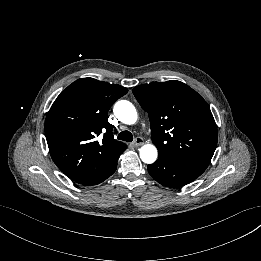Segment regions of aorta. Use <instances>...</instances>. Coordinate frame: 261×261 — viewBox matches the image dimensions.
Here are the masks:
<instances>
[{"label": "aorta", "mask_w": 261, "mask_h": 261, "mask_svg": "<svg viewBox=\"0 0 261 261\" xmlns=\"http://www.w3.org/2000/svg\"><path fill=\"white\" fill-rule=\"evenodd\" d=\"M114 114L120 121L131 125L136 123L138 115L135 107L126 100L117 102L114 106ZM140 158L143 162L151 164L157 159V149L152 144H146L140 148Z\"/></svg>", "instance_id": "762f6f07"}]
</instances>
